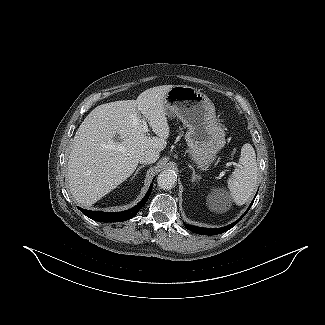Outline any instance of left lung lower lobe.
Here are the masks:
<instances>
[{
	"mask_svg": "<svg viewBox=\"0 0 325 325\" xmlns=\"http://www.w3.org/2000/svg\"><path fill=\"white\" fill-rule=\"evenodd\" d=\"M255 199V198H254ZM254 201L251 202L249 208L246 210V212L234 223L222 227V228H216V229H209V228H200V227H195V226H191V225H187L186 224V228L194 233L197 234H201V235H216V234H220L223 232L228 231L229 229H231L232 227H234L245 215L246 213L249 211L250 207L252 206Z\"/></svg>",
	"mask_w": 325,
	"mask_h": 325,
	"instance_id": "1",
	"label": "left lung lower lobe"
}]
</instances>
